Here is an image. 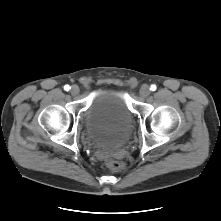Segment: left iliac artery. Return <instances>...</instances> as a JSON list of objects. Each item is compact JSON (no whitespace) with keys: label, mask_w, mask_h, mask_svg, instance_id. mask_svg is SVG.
<instances>
[{"label":"left iliac artery","mask_w":221,"mask_h":221,"mask_svg":"<svg viewBox=\"0 0 221 221\" xmlns=\"http://www.w3.org/2000/svg\"><path fill=\"white\" fill-rule=\"evenodd\" d=\"M156 88H157L156 85L153 84V85H151L150 90L155 91Z\"/></svg>","instance_id":"44dca946"}]
</instances>
